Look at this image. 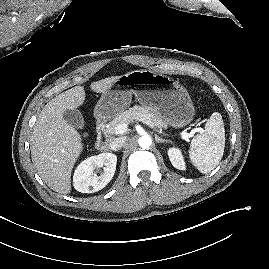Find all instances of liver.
<instances>
[{
    "label": "liver",
    "mask_w": 269,
    "mask_h": 269,
    "mask_svg": "<svg viewBox=\"0 0 269 269\" xmlns=\"http://www.w3.org/2000/svg\"><path fill=\"white\" fill-rule=\"evenodd\" d=\"M119 76L91 83L96 93H105ZM85 101V90L75 86L49 101L39 114L31 142L32 161L50 189L71 192V172L84 149L81 135L63 118L66 109H76Z\"/></svg>",
    "instance_id": "6515ba94"
}]
</instances>
